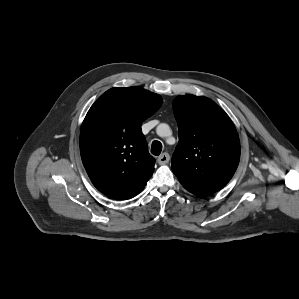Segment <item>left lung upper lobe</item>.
Returning a JSON list of instances; mask_svg holds the SVG:
<instances>
[{
  "label": "left lung upper lobe",
  "mask_w": 299,
  "mask_h": 299,
  "mask_svg": "<svg viewBox=\"0 0 299 299\" xmlns=\"http://www.w3.org/2000/svg\"><path fill=\"white\" fill-rule=\"evenodd\" d=\"M173 111L179 143L172 157V171L194 195L213 194L229 182L239 164L236 128L229 116L204 96H178Z\"/></svg>",
  "instance_id": "5c2ea615"
}]
</instances>
